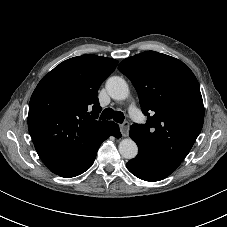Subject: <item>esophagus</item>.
Returning a JSON list of instances; mask_svg holds the SVG:
<instances>
[{"mask_svg":"<svg viewBox=\"0 0 227 227\" xmlns=\"http://www.w3.org/2000/svg\"><path fill=\"white\" fill-rule=\"evenodd\" d=\"M120 132L122 134L123 137L128 136L129 133V122H124L123 124H120Z\"/></svg>","mask_w":227,"mask_h":227,"instance_id":"obj_1","label":"esophagus"}]
</instances>
